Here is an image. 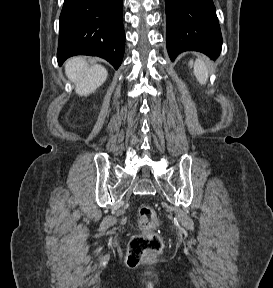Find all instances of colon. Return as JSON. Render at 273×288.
Wrapping results in <instances>:
<instances>
[{
    "mask_svg": "<svg viewBox=\"0 0 273 288\" xmlns=\"http://www.w3.org/2000/svg\"><path fill=\"white\" fill-rule=\"evenodd\" d=\"M138 215L141 232L130 240L126 255V263L130 267L136 266L144 257L160 254L163 249L162 238L155 231L158 226L155 210L148 205H142Z\"/></svg>",
    "mask_w": 273,
    "mask_h": 288,
    "instance_id": "1",
    "label": "colon"
}]
</instances>
